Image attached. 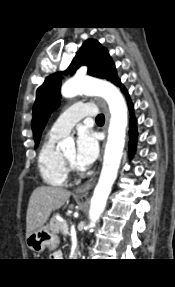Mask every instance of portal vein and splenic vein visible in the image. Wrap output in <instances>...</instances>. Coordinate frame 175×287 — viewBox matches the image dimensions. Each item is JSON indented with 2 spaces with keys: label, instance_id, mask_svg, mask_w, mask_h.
<instances>
[{
  "label": "portal vein and splenic vein",
  "instance_id": "portal-vein-and-splenic-vein-1",
  "mask_svg": "<svg viewBox=\"0 0 175 287\" xmlns=\"http://www.w3.org/2000/svg\"><path fill=\"white\" fill-rule=\"evenodd\" d=\"M63 229H64V233H65V234H68V233H69V231H68V225H67V222H66V221L63 222Z\"/></svg>",
  "mask_w": 175,
  "mask_h": 287
}]
</instances>
